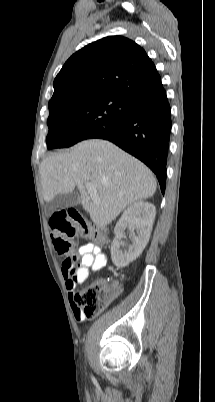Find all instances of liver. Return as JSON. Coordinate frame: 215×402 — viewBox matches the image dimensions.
Here are the masks:
<instances>
[{"label":"liver","mask_w":215,"mask_h":402,"mask_svg":"<svg viewBox=\"0 0 215 402\" xmlns=\"http://www.w3.org/2000/svg\"><path fill=\"white\" fill-rule=\"evenodd\" d=\"M39 172L46 202L77 186L84 210L99 228L127 206L152 197L157 187L154 174L142 162L99 139L82 141L68 152L45 158ZM86 183L94 185L96 199L86 191Z\"/></svg>","instance_id":"1"}]
</instances>
